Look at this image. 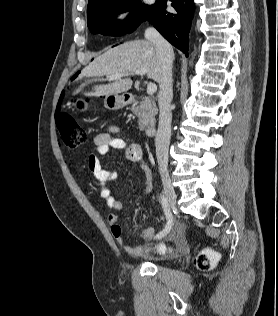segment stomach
I'll use <instances>...</instances> for the list:
<instances>
[{"label":"stomach","instance_id":"0dacf381","mask_svg":"<svg viewBox=\"0 0 278 316\" xmlns=\"http://www.w3.org/2000/svg\"><path fill=\"white\" fill-rule=\"evenodd\" d=\"M128 104L125 96L117 94L107 95L104 99V105L109 110H117ZM73 108L76 112H85L88 109V103L83 99H77L73 103Z\"/></svg>","mask_w":278,"mask_h":316}]
</instances>
